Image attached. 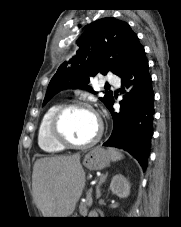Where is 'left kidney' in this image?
<instances>
[{"mask_svg": "<svg viewBox=\"0 0 181 227\" xmlns=\"http://www.w3.org/2000/svg\"><path fill=\"white\" fill-rule=\"evenodd\" d=\"M110 190L120 198H126L130 194V183L122 174L113 176Z\"/></svg>", "mask_w": 181, "mask_h": 227, "instance_id": "obj_1", "label": "left kidney"}]
</instances>
